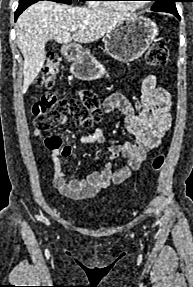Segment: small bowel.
Segmentation results:
<instances>
[{"label":"small bowel","mask_w":193,"mask_h":287,"mask_svg":"<svg viewBox=\"0 0 193 287\" xmlns=\"http://www.w3.org/2000/svg\"><path fill=\"white\" fill-rule=\"evenodd\" d=\"M103 108L107 113L121 111L125 116L127 130L136 137L135 142L111 145L108 148V161L100 171H94L83 179H68L62 168V159L71 156L74 143H65L61 133L45 136V148L51 152L53 163V185L63 195L72 199H87L95 197L98 192L111 185H119L137 171L147 153L157 147L172 123L170 114V95L162 87L157 86V77L153 74L146 76L141 85V97L138 106L131 103L123 94L113 93L105 98ZM67 116L60 118V124L67 125ZM33 136L42 137L44 132L34 129ZM83 143H104L105 139L98 129L91 135H81ZM119 157L126 164L113 170V161Z\"/></svg>","instance_id":"obj_1"}]
</instances>
